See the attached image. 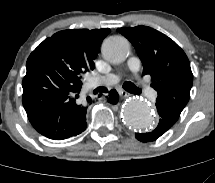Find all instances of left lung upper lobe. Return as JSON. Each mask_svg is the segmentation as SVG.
Returning <instances> with one entry per match:
<instances>
[{"mask_svg":"<svg viewBox=\"0 0 215 183\" xmlns=\"http://www.w3.org/2000/svg\"><path fill=\"white\" fill-rule=\"evenodd\" d=\"M134 46L157 91L156 105H162L179 118L190 97L193 74L184 51L169 37L147 27L118 28Z\"/></svg>","mask_w":215,"mask_h":183,"instance_id":"1","label":"left lung upper lobe"}]
</instances>
